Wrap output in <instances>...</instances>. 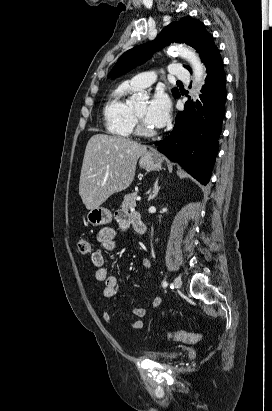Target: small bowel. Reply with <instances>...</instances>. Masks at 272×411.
Masks as SVG:
<instances>
[{
    "mask_svg": "<svg viewBox=\"0 0 272 411\" xmlns=\"http://www.w3.org/2000/svg\"><path fill=\"white\" fill-rule=\"evenodd\" d=\"M134 216L139 215L136 213H131L127 210H121L116 213L115 218L121 232L127 231L130 227L134 228L132 220ZM116 237L117 232L114 228L105 227L99 231L97 235V240L105 250L113 251L117 247ZM91 260L96 268V279L104 285L102 291L103 296L106 298L114 297L118 292V280L114 275L109 273L105 263L103 252L101 250L93 251L91 254ZM141 265L145 271H151L153 268V263L150 259H143L141 261ZM160 304L161 298L155 297L152 302V309L157 308ZM130 312L133 316L137 318L130 323V327L134 330H142L144 328V322L141 320V318H143L146 315L147 309L143 307H134L130 310ZM102 317L107 323L112 324L118 330L125 332V329L122 326L116 325L114 323L113 318L109 312H103Z\"/></svg>",
    "mask_w": 272,
    "mask_h": 411,
    "instance_id": "c3829d8e",
    "label": "small bowel"
}]
</instances>
